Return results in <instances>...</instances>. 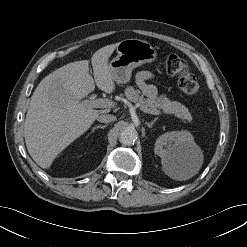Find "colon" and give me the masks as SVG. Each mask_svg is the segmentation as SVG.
I'll return each instance as SVG.
<instances>
[{"label": "colon", "mask_w": 247, "mask_h": 247, "mask_svg": "<svg viewBox=\"0 0 247 247\" xmlns=\"http://www.w3.org/2000/svg\"><path fill=\"white\" fill-rule=\"evenodd\" d=\"M168 74L178 77L180 89L188 95H194L199 91L197 78L190 72L186 61L178 55H169L166 59Z\"/></svg>", "instance_id": "5ec220e1"}]
</instances>
